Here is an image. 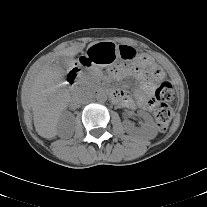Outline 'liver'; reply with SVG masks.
<instances>
[{"label":"liver","mask_w":207,"mask_h":207,"mask_svg":"<svg viewBox=\"0 0 207 207\" xmlns=\"http://www.w3.org/2000/svg\"><path fill=\"white\" fill-rule=\"evenodd\" d=\"M95 43L97 42L90 43L88 47ZM84 47L85 45L80 43L54 53L29 76L26 93L33 111L35 129L43 138L51 139L57 135L60 117L70 100L64 85L65 70L59 65L58 57H73Z\"/></svg>","instance_id":"liver-1"}]
</instances>
